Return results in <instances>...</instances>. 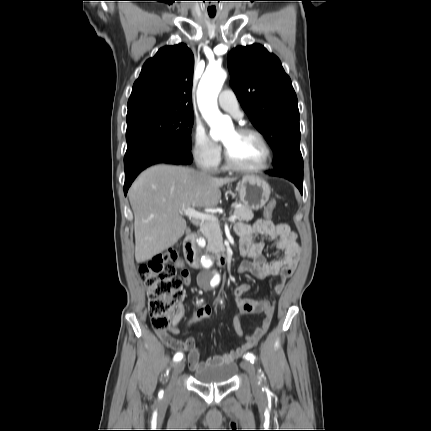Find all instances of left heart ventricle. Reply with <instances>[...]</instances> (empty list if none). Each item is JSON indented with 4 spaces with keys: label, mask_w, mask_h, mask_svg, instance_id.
Listing matches in <instances>:
<instances>
[{
    "label": "left heart ventricle",
    "mask_w": 431,
    "mask_h": 431,
    "mask_svg": "<svg viewBox=\"0 0 431 431\" xmlns=\"http://www.w3.org/2000/svg\"><path fill=\"white\" fill-rule=\"evenodd\" d=\"M223 143L232 160L241 166L255 167L265 159V149L254 135L231 130L223 137Z\"/></svg>",
    "instance_id": "left-heart-ventricle-1"
}]
</instances>
